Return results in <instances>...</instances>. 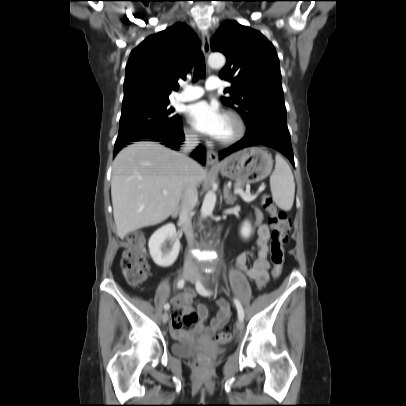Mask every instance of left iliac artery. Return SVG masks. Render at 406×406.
<instances>
[{"label": "left iliac artery", "instance_id": "1", "mask_svg": "<svg viewBox=\"0 0 406 406\" xmlns=\"http://www.w3.org/2000/svg\"><path fill=\"white\" fill-rule=\"evenodd\" d=\"M196 290L199 294L203 295V296H210L212 294V291L207 290L201 282H197L196 283ZM234 303L236 305L237 311H238V317L240 320H244V310L242 308V305L240 303V301L237 298H234Z\"/></svg>", "mask_w": 406, "mask_h": 406}]
</instances>
